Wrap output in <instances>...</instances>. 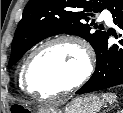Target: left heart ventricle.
Returning a JSON list of instances; mask_svg holds the SVG:
<instances>
[{"label": "left heart ventricle", "mask_w": 123, "mask_h": 113, "mask_svg": "<svg viewBox=\"0 0 123 113\" xmlns=\"http://www.w3.org/2000/svg\"><path fill=\"white\" fill-rule=\"evenodd\" d=\"M84 55L69 42L53 44L37 54L29 70L35 93L48 94L73 83L83 72Z\"/></svg>", "instance_id": "b2bd125f"}]
</instances>
